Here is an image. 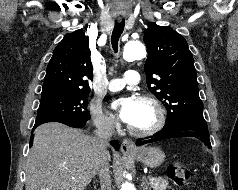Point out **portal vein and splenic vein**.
Returning <instances> with one entry per match:
<instances>
[{
  "mask_svg": "<svg viewBox=\"0 0 238 190\" xmlns=\"http://www.w3.org/2000/svg\"><path fill=\"white\" fill-rule=\"evenodd\" d=\"M154 180V178L153 177H149V181H153Z\"/></svg>",
  "mask_w": 238,
  "mask_h": 190,
  "instance_id": "obj_1",
  "label": "portal vein and splenic vein"
}]
</instances>
